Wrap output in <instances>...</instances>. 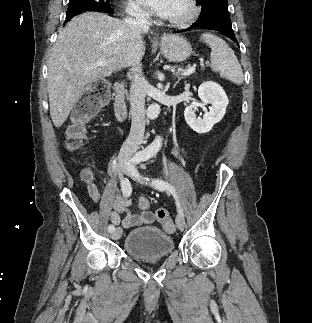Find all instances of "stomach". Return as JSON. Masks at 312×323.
I'll list each match as a JSON object with an SVG mask.
<instances>
[{
    "label": "stomach",
    "instance_id": "obj_1",
    "mask_svg": "<svg viewBox=\"0 0 312 323\" xmlns=\"http://www.w3.org/2000/svg\"><path fill=\"white\" fill-rule=\"evenodd\" d=\"M161 54L169 62H185L192 54V48L183 36H164L161 38Z\"/></svg>",
    "mask_w": 312,
    "mask_h": 323
}]
</instances>
